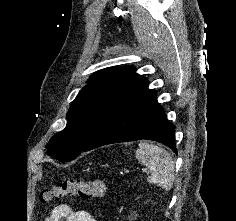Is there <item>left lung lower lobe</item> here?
Returning <instances> with one entry per match:
<instances>
[{
    "label": "left lung lower lobe",
    "mask_w": 236,
    "mask_h": 221,
    "mask_svg": "<svg viewBox=\"0 0 236 221\" xmlns=\"http://www.w3.org/2000/svg\"><path fill=\"white\" fill-rule=\"evenodd\" d=\"M148 80L124 100L105 119L94 137L84 149L140 139L158 141L176 154L174 132L156 99V92L148 89Z\"/></svg>",
    "instance_id": "left-lung-lower-lobe-1"
}]
</instances>
